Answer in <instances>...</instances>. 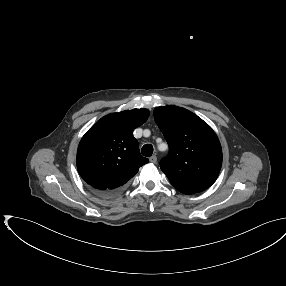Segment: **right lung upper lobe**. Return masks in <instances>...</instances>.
Returning <instances> with one entry per match:
<instances>
[{"label":"right lung upper lobe","mask_w":286,"mask_h":286,"mask_svg":"<svg viewBox=\"0 0 286 286\" xmlns=\"http://www.w3.org/2000/svg\"><path fill=\"white\" fill-rule=\"evenodd\" d=\"M147 109L125 110L97 121L83 136L77 151V169L93 189L120 191L148 163L141 156L133 130L148 119Z\"/></svg>","instance_id":"1"}]
</instances>
